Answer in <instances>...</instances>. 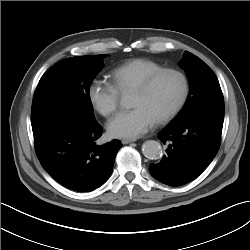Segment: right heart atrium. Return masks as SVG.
Returning <instances> with one entry per match:
<instances>
[{
	"label": "right heart atrium",
	"instance_id": "1",
	"mask_svg": "<svg viewBox=\"0 0 250 250\" xmlns=\"http://www.w3.org/2000/svg\"><path fill=\"white\" fill-rule=\"evenodd\" d=\"M87 96L93 108L103 116H110L118 109L119 92L109 81H92Z\"/></svg>",
	"mask_w": 250,
	"mask_h": 250
}]
</instances>
